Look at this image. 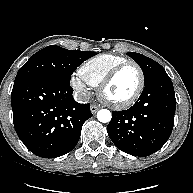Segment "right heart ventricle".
<instances>
[{
	"mask_svg": "<svg viewBox=\"0 0 193 193\" xmlns=\"http://www.w3.org/2000/svg\"><path fill=\"white\" fill-rule=\"evenodd\" d=\"M129 61L114 54H100L86 60L79 68V75L92 87H98L104 77L116 66Z\"/></svg>",
	"mask_w": 193,
	"mask_h": 193,
	"instance_id": "right-heart-ventricle-1",
	"label": "right heart ventricle"
}]
</instances>
